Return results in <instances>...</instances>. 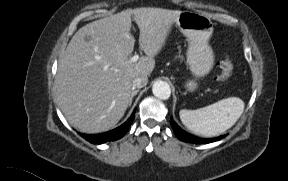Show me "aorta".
I'll list each match as a JSON object with an SVG mask.
<instances>
[{
	"label": "aorta",
	"mask_w": 288,
	"mask_h": 181,
	"mask_svg": "<svg viewBox=\"0 0 288 181\" xmlns=\"http://www.w3.org/2000/svg\"><path fill=\"white\" fill-rule=\"evenodd\" d=\"M152 92L154 96L162 100L168 99L171 95L170 86L164 81H156L153 84Z\"/></svg>",
	"instance_id": "762f6f07"
}]
</instances>
